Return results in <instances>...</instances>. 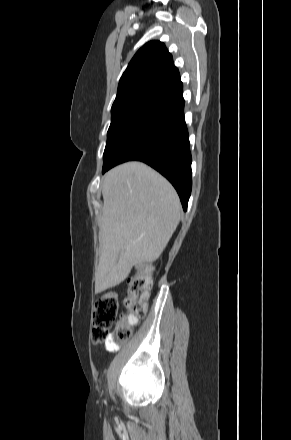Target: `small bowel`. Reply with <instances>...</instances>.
Here are the masks:
<instances>
[{"mask_svg":"<svg viewBox=\"0 0 291 440\" xmlns=\"http://www.w3.org/2000/svg\"><path fill=\"white\" fill-rule=\"evenodd\" d=\"M138 321L139 320L136 317H127V319H126V323L129 325H136L138 323ZM105 349L108 352H116L119 349V346L117 343L106 341L105 342Z\"/></svg>","mask_w":291,"mask_h":440,"instance_id":"1","label":"small bowel"}]
</instances>
